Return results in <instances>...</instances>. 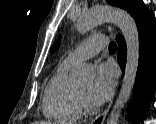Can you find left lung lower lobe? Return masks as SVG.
Listing matches in <instances>:
<instances>
[{
	"mask_svg": "<svg viewBox=\"0 0 156 124\" xmlns=\"http://www.w3.org/2000/svg\"><path fill=\"white\" fill-rule=\"evenodd\" d=\"M139 33V65L136 76L135 96L132 107L134 119L143 118L156 88V25L155 16L142 2L133 15ZM118 42V62L124 71L126 45L122 36Z\"/></svg>",
	"mask_w": 156,
	"mask_h": 124,
	"instance_id": "obj_1",
	"label": "left lung lower lobe"
}]
</instances>
